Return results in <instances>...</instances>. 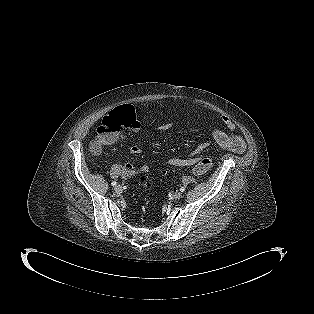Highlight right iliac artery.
<instances>
[{
  "mask_svg": "<svg viewBox=\"0 0 314 314\" xmlns=\"http://www.w3.org/2000/svg\"><path fill=\"white\" fill-rule=\"evenodd\" d=\"M116 184H117V183H116L115 181H113V182L111 183L112 186H116Z\"/></svg>",
  "mask_w": 314,
  "mask_h": 314,
  "instance_id": "right-iliac-artery-1",
  "label": "right iliac artery"
}]
</instances>
